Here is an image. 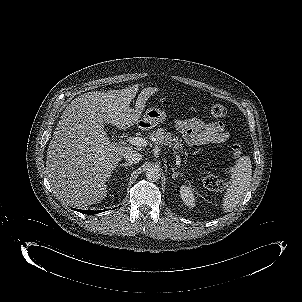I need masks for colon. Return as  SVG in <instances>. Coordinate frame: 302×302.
Returning <instances> with one entry per match:
<instances>
[{
    "mask_svg": "<svg viewBox=\"0 0 302 302\" xmlns=\"http://www.w3.org/2000/svg\"><path fill=\"white\" fill-rule=\"evenodd\" d=\"M210 114L215 118H221L226 114V108L220 103H212L210 105ZM233 155L235 158H239L242 155V149L239 144H234L232 147ZM203 183L209 190H221L223 188V182L216 176L206 172L203 177Z\"/></svg>",
    "mask_w": 302,
    "mask_h": 302,
    "instance_id": "5ec220e1",
    "label": "colon"
}]
</instances>
